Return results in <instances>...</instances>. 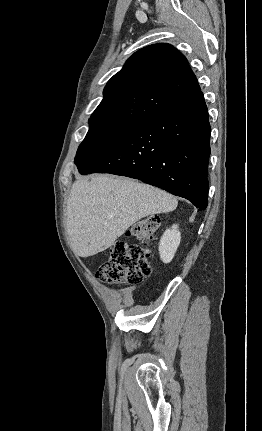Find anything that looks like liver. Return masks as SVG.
Masks as SVG:
<instances>
[{"instance_id":"1","label":"liver","mask_w":262,"mask_h":431,"mask_svg":"<svg viewBox=\"0 0 262 431\" xmlns=\"http://www.w3.org/2000/svg\"><path fill=\"white\" fill-rule=\"evenodd\" d=\"M177 205L171 194L128 178L101 174L79 179L67 200L71 248L77 256H93L140 219L171 212Z\"/></svg>"}]
</instances>
